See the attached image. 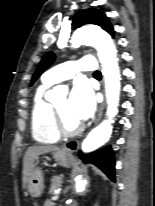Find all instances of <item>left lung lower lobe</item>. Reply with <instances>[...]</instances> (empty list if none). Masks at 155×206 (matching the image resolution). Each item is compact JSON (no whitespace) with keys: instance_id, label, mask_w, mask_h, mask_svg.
<instances>
[{"instance_id":"0a47b994","label":"left lung lower lobe","mask_w":155,"mask_h":206,"mask_svg":"<svg viewBox=\"0 0 155 206\" xmlns=\"http://www.w3.org/2000/svg\"><path fill=\"white\" fill-rule=\"evenodd\" d=\"M79 156L85 162H90L98 166L112 181H115V162L110 146L87 155L80 152Z\"/></svg>"}]
</instances>
